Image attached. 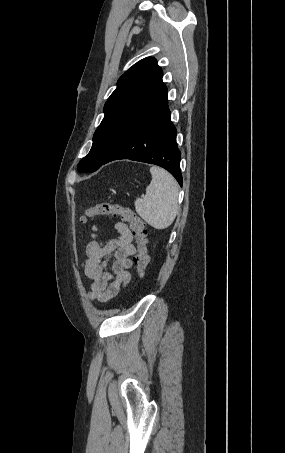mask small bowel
<instances>
[{"mask_svg": "<svg viewBox=\"0 0 285 453\" xmlns=\"http://www.w3.org/2000/svg\"><path fill=\"white\" fill-rule=\"evenodd\" d=\"M97 231V227H93ZM118 237L101 242L92 234L85 249L82 268L91 280L89 297L92 300L106 302L116 296L122 287L131 280V257L136 254L133 244V233L123 222L116 224ZM112 260L111 272L107 270Z\"/></svg>", "mask_w": 285, "mask_h": 453, "instance_id": "c3829d8e", "label": "small bowel"}]
</instances>
